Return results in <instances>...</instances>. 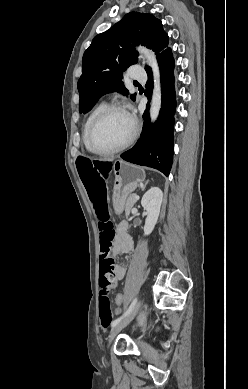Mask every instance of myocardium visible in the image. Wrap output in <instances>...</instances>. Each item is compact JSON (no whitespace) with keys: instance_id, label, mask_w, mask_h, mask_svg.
<instances>
[{"instance_id":"myocardium-1","label":"myocardium","mask_w":248,"mask_h":389,"mask_svg":"<svg viewBox=\"0 0 248 389\" xmlns=\"http://www.w3.org/2000/svg\"><path fill=\"white\" fill-rule=\"evenodd\" d=\"M111 111H121L123 113H125L129 118L130 120L132 121V125H133V129H132V133L130 135V137L124 142L122 143L121 145L113 148V149H109V150H102V149H98L96 148L94 145H93V133H94V130L95 128L97 127V125L99 124V122L108 114L110 113ZM138 133H139V124H138V121L137 119L128 111V109L120 104V103H110V104H107L105 105L97 114L96 116L94 117V119L92 120L90 126H89V130H88V136H87V141H88V146L90 148V150L93 152V153H96V154H99V155H103V156H107V155H114L116 153H119L123 150H125L126 148H128L134 141L135 139L137 138L138 136Z\"/></svg>"}]
</instances>
